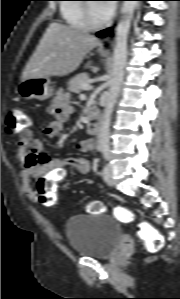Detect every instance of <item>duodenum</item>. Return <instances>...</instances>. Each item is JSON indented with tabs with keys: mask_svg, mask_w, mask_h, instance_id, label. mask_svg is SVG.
Wrapping results in <instances>:
<instances>
[{
	"mask_svg": "<svg viewBox=\"0 0 180 299\" xmlns=\"http://www.w3.org/2000/svg\"><path fill=\"white\" fill-rule=\"evenodd\" d=\"M101 118L99 114H93L87 122L86 128L88 133L94 134L98 131L100 127Z\"/></svg>",
	"mask_w": 180,
	"mask_h": 299,
	"instance_id": "1",
	"label": "duodenum"
}]
</instances>
